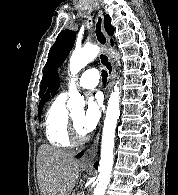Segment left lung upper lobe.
I'll use <instances>...</instances> for the list:
<instances>
[{
	"label": "left lung upper lobe",
	"instance_id": "obj_1",
	"mask_svg": "<svg viewBox=\"0 0 178 195\" xmlns=\"http://www.w3.org/2000/svg\"><path fill=\"white\" fill-rule=\"evenodd\" d=\"M104 26L108 34L113 35L114 27L111 26V18L109 15L104 17ZM75 38L76 34L71 30H64L57 36L54 45L49 51L48 60L44 67L40 95L45 92L51 70L55 67H60V65L64 62L66 56L69 54L74 45Z\"/></svg>",
	"mask_w": 178,
	"mask_h": 195
}]
</instances>
